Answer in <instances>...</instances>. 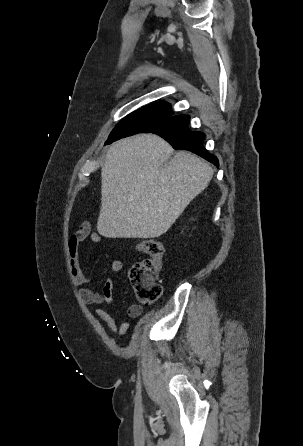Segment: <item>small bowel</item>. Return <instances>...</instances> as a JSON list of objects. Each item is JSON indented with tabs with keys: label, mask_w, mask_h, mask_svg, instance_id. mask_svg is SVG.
<instances>
[{
	"label": "small bowel",
	"mask_w": 303,
	"mask_h": 446,
	"mask_svg": "<svg viewBox=\"0 0 303 446\" xmlns=\"http://www.w3.org/2000/svg\"><path fill=\"white\" fill-rule=\"evenodd\" d=\"M86 239H90L93 243H100L102 237L98 232L92 230L89 223L83 222L69 240L70 273L73 283L76 286H84L92 282V278L86 275L80 265V245ZM123 267L124 265L120 260H115L111 264V270L114 273H120L123 270ZM113 289V280L107 278L100 292L84 287L79 290V295L81 300L86 304L111 305L113 300ZM142 313L143 307L139 304H131L126 311L129 318H137L141 316ZM94 314L99 319L106 322L111 333L117 334L120 337H124L128 333L129 323L126 320L117 322L108 311L101 308L95 309Z\"/></svg>",
	"instance_id": "small-bowel-1"
}]
</instances>
